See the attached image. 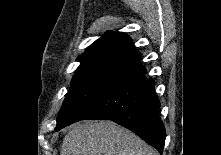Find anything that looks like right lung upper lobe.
<instances>
[{
	"label": "right lung upper lobe",
	"mask_w": 221,
	"mask_h": 155,
	"mask_svg": "<svg viewBox=\"0 0 221 155\" xmlns=\"http://www.w3.org/2000/svg\"><path fill=\"white\" fill-rule=\"evenodd\" d=\"M135 50L131 39L124 33L108 32L91 44L78 60L103 55H117L126 57Z\"/></svg>",
	"instance_id": "cb5924a9"
}]
</instances>
